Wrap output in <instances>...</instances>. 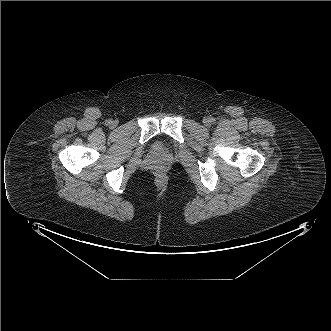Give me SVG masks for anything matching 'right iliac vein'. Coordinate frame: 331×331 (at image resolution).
<instances>
[{
  "mask_svg": "<svg viewBox=\"0 0 331 331\" xmlns=\"http://www.w3.org/2000/svg\"><path fill=\"white\" fill-rule=\"evenodd\" d=\"M112 126H116V122H112Z\"/></svg>",
  "mask_w": 331,
  "mask_h": 331,
  "instance_id": "63e3f726",
  "label": "right iliac vein"
}]
</instances>
